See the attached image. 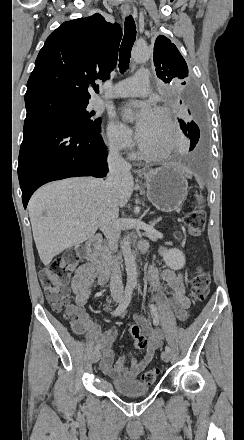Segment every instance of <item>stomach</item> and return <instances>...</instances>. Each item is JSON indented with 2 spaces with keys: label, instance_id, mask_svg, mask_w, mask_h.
I'll list each match as a JSON object with an SVG mask.
<instances>
[{
  "label": "stomach",
  "instance_id": "1",
  "mask_svg": "<svg viewBox=\"0 0 244 440\" xmlns=\"http://www.w3.org/2000/svg\"><path fill=\"white\" fill-rule=\"evenodd\" d=\"M147 198L161 212H174L188 194V182L174 166H161L144 174Z\"/></svg>",
  "mask_w": 244,
  "mask_h": 440
}]
</instances>
